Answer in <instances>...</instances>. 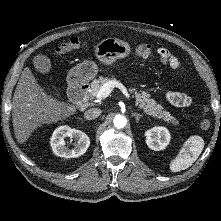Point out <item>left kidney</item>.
Segmentation results:
<instances>
[{
	"label": "left kidney",
	"mask_w": 221,
	"mask_h": 221,
	"mask_svg": "<svg viewBox=\"0 0 221 221\" xmlns=\"http://www.w3.org/2000/svg\"><path fill=\"white\" fill-rule=\"evenodd\" d=\"M145 136L148 147L155 151L165 149L171 138L168 129L159 126L146 131Z\"/></svg>",
	"instance_id": "5707ae66"
}]
</instances>
